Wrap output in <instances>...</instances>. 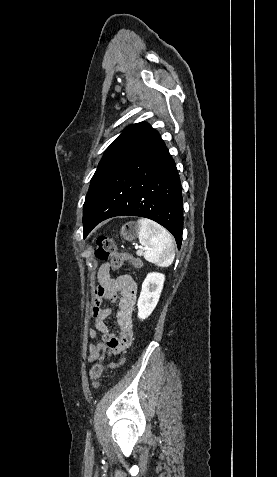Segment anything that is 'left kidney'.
<instances>
[{"mask_svg": "<svg viewBox=\"0 0 277 477\" xmlns=\"http://www.w3.org/2000/svg\"><path fill=\"white\" fill-rule=\"evenodd\" d=\"M165 276L161 273H149L143 284L137 302L139 319H146L155 309L163 289Z\"/></svg>", "mask_w": 277, "mask_h": 477, "instance_id": "left-kidney-1", "label": "left kidney"}]
</instances>
